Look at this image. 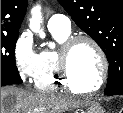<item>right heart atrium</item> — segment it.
I'll return each instance as SVG.
<instances>
[{
  "mask_svg": "<svg viewBox=\"0 0 123 113\" xmlns=\"http://www.w3.org/2000/svg\"><path fill=\"white\" fill-rule=\"evenodd\" d=\"M38 56L32 36L21 33L13 47V59L17 74L23 83H32L37 73Z\"/></svg>",
  "mask_w": 123,
  "mask_h": 113,
  "instance_id": "1",
  "label": "right heart atrium"
}]
</instances>
